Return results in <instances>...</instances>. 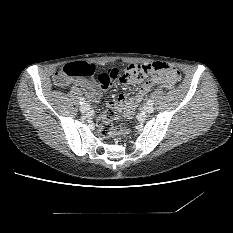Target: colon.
Here are the masks:
<instances>
[{
    "mask_svg": "<svg viewBox=\"0 0 233 233\" xmlns=\"http://www.w3.org/2000/svg\"><path fill=\"white\" fill-rule=\"evenodd\" d=\"M174 68L166 63L157 62L154 64H130L124 70V78L151 80L159 71L168 73L174 72ZM96 72V67L88 61H78L58 68L53 77V82L57 87L67 86L74 78H89ZM132 107L125 108L122 112L116 113L112 109L106 110L97 120L98 130L101 136L110 137L112 135H126L127 128L124 125L114 127L112 122L123 120L131 115Z\"/></svg>",
    "mask_w": 233,
    "mask_h": 233,
    "instance_id": "5ec220e1",
    "label": "colon"
}]
</instances>
